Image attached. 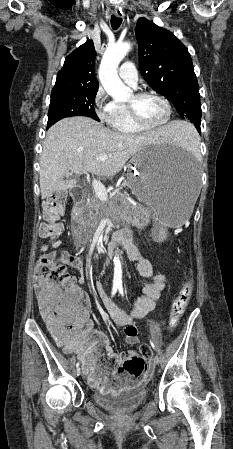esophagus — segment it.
Instances as JSON below:
<instances>
[{"instance_id":"1","label":"esophagus","mask_w":233,"mask_h":449,"mask_svg":"<svg viewBox=\"0 0 233 449\" xmlns=\"http://www.w3.org/2000/svg\"><path fill=\"white\" fill-rule=\"evenodd\" d=\"M114 14L118 17V18H124V13L121 9L115 8L114 9Z\"/></svg>"}]
</instances>
